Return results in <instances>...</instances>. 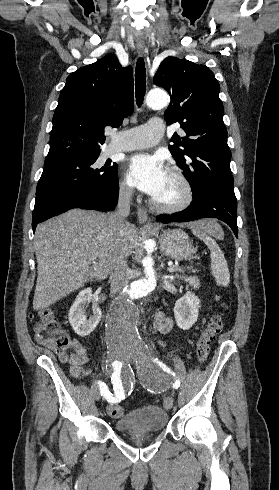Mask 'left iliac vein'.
I'll list each match as a JSON object with an SVG mask.
<instances>
[{
    "label": "left iliac vein",
    "instance_id": "left-iliac-vein-1",
    "mask_svg": "<svg viewBox=\"0 0 279 490\" xmlns=\"http://www.w3.org/2000/svg\"><path fill=\"white\" fill-rule=\"evenodd\" d=\"M131 359L133 358L135 361H138V360H141L142 359V356L141 355H138V354H135L133 357L131 356L130 357ZM173 398L172 396H168L166 399H165V408L167 410H171L172 407H173Z\"/></svg>",
    "mask_w": 279,
    "mask_h": 490
}]
</instances>
